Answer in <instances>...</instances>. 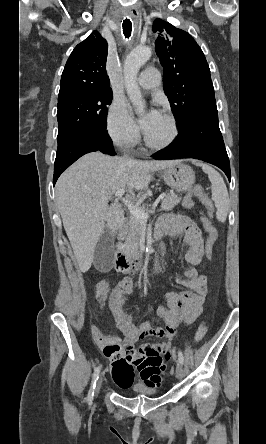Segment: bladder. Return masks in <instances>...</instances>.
I'll use <instances>...</instances> for the list:
<instances>
[{"mask_svg":"<svg viewBox=\"0 0 266 444\" xmlns=\"http://www.w3.org/2000/svg\"><path fill=\"white\" fill-rule=\"evenodd\" d=\"M133 390L136 394L144 397H153L157 394L156 390L145 388L142 386L135 387Z\"/></svg>","mask_w":266,"mask_h":444,"instance_id":"bladder-1","label":"bladder"}]
</instances>
